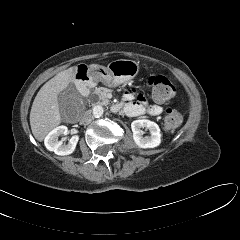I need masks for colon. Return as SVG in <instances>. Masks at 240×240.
I'll return each mask as SVG.
<instances>
[{
    "mask_svg": "<svg viewBox=\"0 0 240 240\" xmlns=\"http://www.w3.org/2000/svg\"><path fill=\"white\" fill-rule=\"evenodd\" d=\"M152 98L157 102H168L176 95V88L172 82L163 75H152L147 79ZM182 122V116L174 109H168L164 116L163 128L174 131Z\"/></svg>",
    "mask_w": 240,
    "mask_h": 240,
    "instance_id": "colon-1",
    "label": "colon"
}]
</instances>
